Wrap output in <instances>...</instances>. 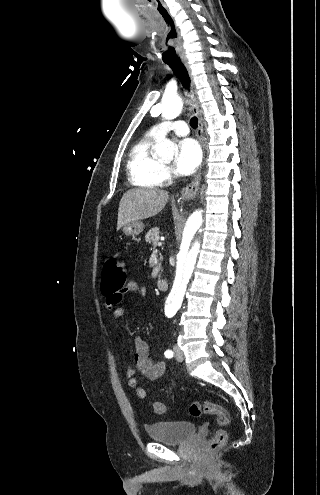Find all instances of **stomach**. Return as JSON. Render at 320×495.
Masks as SVG:
<instances>
[{
    "mask_svg": "<svg viewBox=\"0 0 320 495\" xmlns=\"http://www.w3.org/2000/svg\"><path fill=\"white\" fill-rule=\"evenodd\" d=\"M144 227L141 221H132L124 225L123 232L127 236H135L139 235L144 230Z\"/></svg>",
    "mask_w": 320,
    "mask_h": 495,
    "instance_id": "stomach-1",
    "label": "stomach"
}]
</instances>
